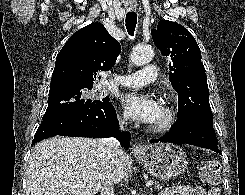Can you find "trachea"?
Wrapping results in <instances>:
<instances>
[{
    "instance_id": "1",
    "label": "trachea",
    "mask_w": 245,
    "mask_h": 195,
    "mask_svg": "<svg viewBox=\"0 0 245 195\" xmlns=\"http://www.w3.org/2000/svg\"><path fill=\"white\" fill-rule=\"evenodd\" d=\"M125 22L128 34L133 36L137 24V14L134 11H129L126 15Z\"/></svg>"
}]
</instances>
